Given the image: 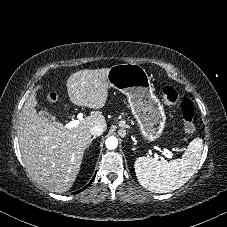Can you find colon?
Masks as SVG:
<instances>
[{"instance_id":"obj_1","label":"colon","mask_w":227,"mask_h":227,"mask_svg":"<svg viewBox=\"0 0 227 227\" xmlns=\"http://www.w3.org/2000/svg\"><path fill=\"white\" fill-rule=\"evenodd\" d=\"M51 101L56 100L55 94L50 96ZM162 100L167 105H175L179 107L180 115L183 121V128L186 132L194 131L193 116L194 110L190 100L182 97L179 92L171 86L162 89Z\"/></svg>"}]
</instances>
